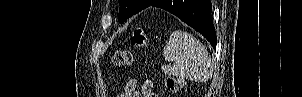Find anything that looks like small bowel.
I'll list each match as a JSON object with an SVG mask.
<instances>
[{"mask_svg":"<svg viewBox=\"0 0 302 97\" xmlns=\"http://www.w3.org/2000/svg\"><path fill=\"white\" fill-rule=\"evenodd\" d=\"M122 97H141V94L136 89L135 80H131L125 85Z\"/></svg>","mask_w":302,"mask_h":97,"instance_id":"c3829d8e","label":"small bowel"}]
</instances>
